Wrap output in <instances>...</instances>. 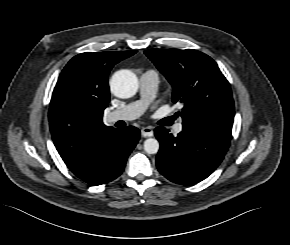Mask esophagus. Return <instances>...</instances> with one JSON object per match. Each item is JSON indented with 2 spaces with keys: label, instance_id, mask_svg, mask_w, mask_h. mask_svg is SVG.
<instances>
[{
  "label": "esophagus",
  "instance_id": "obj_1",
  "mask_svg": "<svg viewBox=\"0 0 290 245\" xmlns=\"http://www.w3.org/2000/svg\"><path fill=\"white\" fill-rule=\"evenodd\" d=\"M153 134H154V132H153V130H152L151 127H143V128L141 129V135H142L143 137H152Z\"/></svg>",
  "mask_w": 290,
  "mask_h": 245
}]
</instances>
